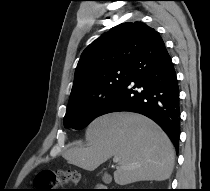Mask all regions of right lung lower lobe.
<instances>
[{
    "instance_id": "right-lung-lower-lobe-1",
    "label": "right lung lower lobe",
    "mask_w": 210,
    "mask_h": 191,
    "mask_svg": "<svg viewBox=\"0 0 210 191\" xmlns=\"http://www.w3.org/2000/svg\"><path fill=\"white\" fill-rule=\"evenodd\" d=\"M117 111L137 112L151 118L178 149L179 87L171 57L159 34L133 59L128 79L106 102L99 116Z\"/></svg>"
}]
</instances>
